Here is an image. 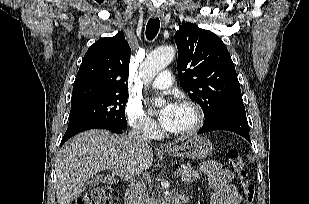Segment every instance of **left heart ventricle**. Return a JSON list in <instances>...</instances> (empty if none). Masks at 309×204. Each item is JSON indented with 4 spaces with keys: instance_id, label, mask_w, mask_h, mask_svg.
I'll list each match as a JSON object with an SVG mask.
<instances>
[{
    "instance_id": "1",
    "label": "left heart ventricle",
    "mask_w": 309,
    "mask_h": 204,
    "mask_svg": "<svg viewBox=\"0 0 309 204\" xmlns=\"http://www.w3.org/2000/svg\"><path fill=\"white\" fill-rule=\"evenodd\" d=\"M195 119V113L191 108L178 105L169 130H186L194 124Z\"/></svg>"
}]
</instances>
